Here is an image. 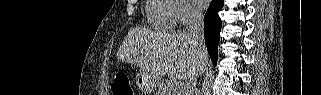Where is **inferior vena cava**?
I'll return each mask as SVG.
<instances>
[{
    "mask_svg": "<svg viewBox=\"0 0 321 95\" xmlns=\"http://www.w3.org/2000/svg\"><path fill=\"white\" fill-rule=\"evenodd\" d=\"M188 34L197 50L198 58L201 59L205 55L204 43V19L203 14L195 8H191L188 12ZM204 67L199 65L194 74H192L188 81L184 84L182 95H195L197 79L203 72Z\"/></svg>",
    "mask_w": 321,
    "mask_h": 95,
    "instance_id": "1",
    "label": "inferior vena cava"
}]
</instances>
